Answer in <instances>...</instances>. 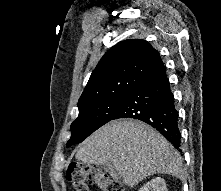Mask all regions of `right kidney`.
<instances>
[{"mask_svg": "<svg viewBox=\"0 0 221 191\" xmlns=\"http://www.w3.org/2000/svg\"><path fill=\"white\" fill-rule=\"evenodd\" d=\"M138 191H168L165 180L161 177L152 179L144 184Z\"/></svg>", "mask_w": 221, "mask_h": 191, "instance_id": "right-kidney-1", "label": "right kidney"}]
</instances>
